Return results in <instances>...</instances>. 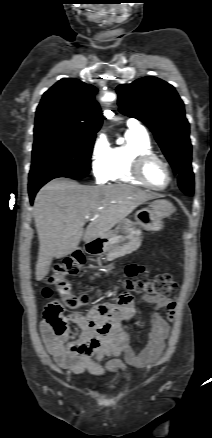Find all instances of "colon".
I'll return each mask as SVG.
<instances>
[{"instance_id":"colon-1","label":"colon","mask_w":212,"mask_h":438,"mask_svg":"<svg viewBox=\"0 0 212 438\" xmlns=\"http://www.w3.org/2000/svg\"><path fill=\"white\" fill-rule=\"evenodd\" d=\"M83 264L84 256L82 253L74 252L55 266L54 274L50 277V283L56 287L62 298L52 300L45 306L44 320L53 328L56 334L61 336H71L67 329L65 310H75L86 305L90 299L87 294L74 295L71 292L70 284L66 280L68 275L77 274ZM122 285L128 292L151 297H168L177 289V284L170 274L158 275L147 282L127 279L122 281ZM51 294V289L45 288L43 290L45 297H50Z\"/></svg>"}]
</instances>
